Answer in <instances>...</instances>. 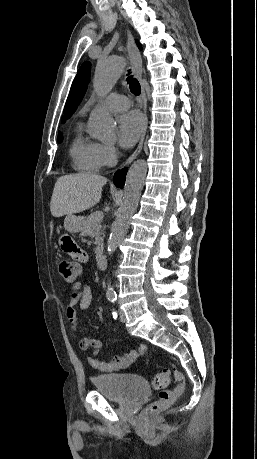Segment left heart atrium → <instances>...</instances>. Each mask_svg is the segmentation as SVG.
<instances>
[{
  "label": "left heart atrium",
  "mask_w": 257,
  "mask_h": 459,
  "mask_svg": "<svg viewBox=\"0 0 257 459\" xmlns=\"http://www.w3.org/2000/svg\"><path fill=\"white\" fill-rule=\"evenodd\" d=\"M143 129V120L139 113L130 111L122 115L118 121L117 136L119 144L124 148L132 147L139 139Z\"/></svg>",
  "instance_id": "39dd6f15"
}]
</instances>
